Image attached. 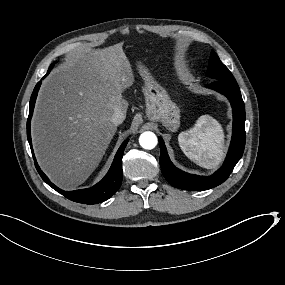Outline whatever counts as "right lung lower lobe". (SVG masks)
Masks as SVG:
<instances>
[{
  "instance_id": "98d812e1",
  "label": "right lung lower lobe",
  "mask_w": 285,
  "mask_h": 285,
  "mask_svg": "<svg viewBox=\"0 0 285 285\" xmlns=\"http://www.w3.org/2000/svg\"><path fill=\"white\" fill-rule=\"evenodd\" d=\"M50 70L51 69H48L47 74L43 78H45L49 74ZM40 85H41V81L37 83L31 95L30 106H29V117L27 121V138L30 144V148L32 151V155H33L35 166H36L38 173L50 187H52L54 190H56L57 192L61 193L66 198L74 202L83 203V204H97V203H100V202H103L109 199L120 188V185L122 182V176H123L122 156H123L124 149L128 143V139L124 141V143L120 146L119 150L117 151L115 155V158H114V161L112 163L110 170L99 183H97L91 188L82 189V190L64 191V190L59 189L57 186L51 183L48 177L41 171L40 167L38 166L36 162V158L34 156V152L32 149V142H31V135H30V120L33 114V109H34V105H35V101H36V97H37Z\"/></svg>"
}]
</instances>
